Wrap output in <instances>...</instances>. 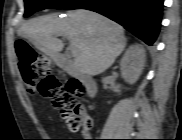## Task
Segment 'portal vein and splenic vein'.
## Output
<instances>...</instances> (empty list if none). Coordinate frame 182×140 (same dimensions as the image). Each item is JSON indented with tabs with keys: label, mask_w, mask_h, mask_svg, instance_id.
Returning <instances> with one entry per match:
<instances>
[{
	"label": "portal vein and splenic vein",
	"mask_w": 182,
	"mask_h": 140,
	"mask_svg": "<svg viewBox=\"0 0 182 140\" xmlns=\"http://www.w3.org/2000/svg\"><path fill=\"white\" fill-rule=\"evenodd\" d=\"M69 51H70V54H71L73 57H76V56L78 55V50H77V48L74 47L73 45H70Z\"/></svg>",
	"instance_id": "obj_1"
}]
</instances>
